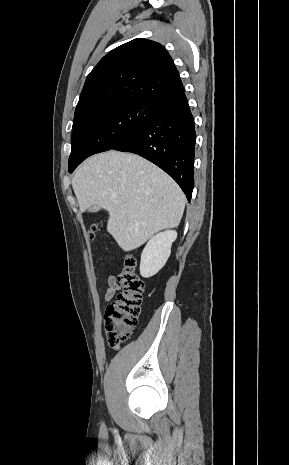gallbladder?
<instances>
[{"mask_svg":"<svg viewBox=\"0 0 289 465\" xmlns=\"http://www.w3.org/2000/svg\"><path fill=\"white\" fill-rule=\"evenodd\" d=\"M99 210V208L97 206H91L88 208V211L89 212H97Z\"/></svg>","mask_w":289,"mask_h":465,"instance_id":"bac80fb5","label":"gallbladder"}]
</instances>
